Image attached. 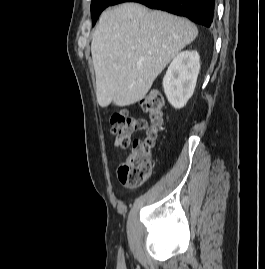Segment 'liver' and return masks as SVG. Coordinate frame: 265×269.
I'll return each instance as SVG.
<instances>
[{"instance_id":"1","label":"liver","mask_w":265,"mask_h":269,"mask_svg":"<svg viewBox=\"0 0 265 269\" xmlns=\"http://www.w3.org/2000/svg\"><path fill=\"white\" fill-rule=\"evenodd\" d=\"M197 35L189 20L138 3L106 10L91 42L99 105L124 107L144 98L162 70Z\"/></svg>"}]
</instances>
